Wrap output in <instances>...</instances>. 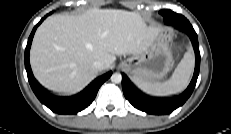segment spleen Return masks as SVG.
I'll list each match as a JSON object with an SVG mask.
<instances>
[{"instance_id":"spleen-1","label":"spleen","mask_w":231,"mask_h":134,"mask_svg":"<svg viewBox=\"0 0 231 134\" xmlns=\"http://www.w3.org/2000/svg\"><path fill=\"white\" fill-rule=\"evenodd\" d=\"M194 61L193 51L189 48L169 80L165 82H143L134 80V83L144 92L155 96L180 93L187 87L190 81Z\"/></svg>"}]
</instances>
